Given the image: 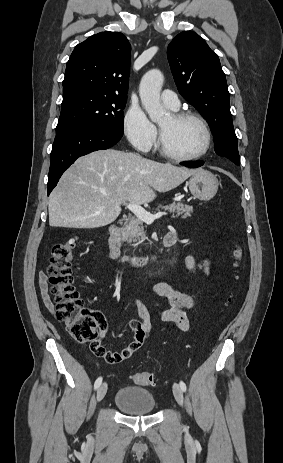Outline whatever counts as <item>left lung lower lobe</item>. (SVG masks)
I'll return each mask as SVG.
<instances>
[{
	"label": "left lung lower lobe",
	"mask_w": 283,
	"mask_h": 463,
	"mask_svg": "<svg viewBox=\"0 0 283 463\" xmlns=\"http://www.w3.org/2000/svg\"><path fill=\"white\" fill-rule=\"evenodd\" d=\"M204 164V162L202 161H198V162H184L183 165L184 166H187V167H191V168H196V167H200Z\"/></svg>",
	"instance_id": "1"
}]
</instances>
